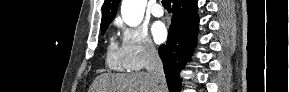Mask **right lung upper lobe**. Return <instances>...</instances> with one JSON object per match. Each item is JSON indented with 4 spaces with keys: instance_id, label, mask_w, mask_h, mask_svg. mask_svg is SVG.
<instances>
[{
    "instance_id": "cb5924a9",
    "label": "right lung upper lobe",
    "mask_w": 289,
    "mask_h": 92,
    "mask_svg": "<svg viewBox=\"0 0 289 92\" xmlns=\"http://www.w3.org/2000/svg\"><path fill=\"white\" fill-rule=\"evenodd\" d=\"M185 1H188V0H173V3L185 2ZM119 2L120 0H105L104 5H103L101 27L109 25L113 21L117 12Z\"/></svg>"
}]
</instances>
